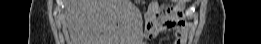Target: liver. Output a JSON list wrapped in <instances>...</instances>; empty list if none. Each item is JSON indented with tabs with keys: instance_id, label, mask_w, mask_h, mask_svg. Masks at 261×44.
<instances>
[{
	"instance_id": "6515ba94",
	"label": "liver",
	"mask_w": 261,
	"mask_h": 44,
	"mask_svg": "<svg viewBox=\"0 0 261 44\" xmlns=\"http://www.w3.org/2000/svg\"><path fill=\"white\" fill-rule=\"evenodd\" d=\"M65 5L74 44H139L144 25H113L140 24L130 0H66Z\"/></svg>"
}]
</instances>
